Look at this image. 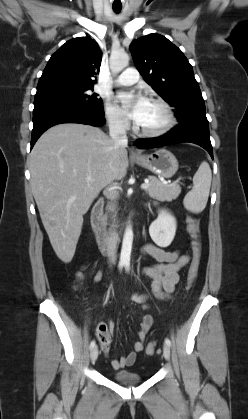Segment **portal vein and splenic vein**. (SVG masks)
<instances>
[{
    "mask_svg": "<svg viewBox=\"0 0 248 419\" xmlns=\"http://www.w3.org/2000/svg\"><path fill=\"white\" fill-rule=\"evenodd\" d=\"M87 179V181H92V178L91 177H87L86 178ZM149 187V183L148 182H145V183H143L142 185H141V188L142 189H147Z\"/></svg>",
    "mask_w": 248,
    "mask_h": 419,
    "instance_id": "portal-vein-and-splenic-vein-1",
    "label": "portal vein and splenic vein"
}]
</instances>
